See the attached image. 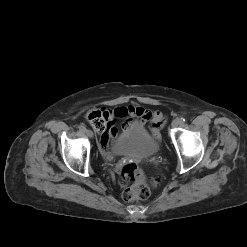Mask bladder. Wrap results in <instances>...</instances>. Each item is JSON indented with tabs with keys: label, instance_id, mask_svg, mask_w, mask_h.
<instances>
[{
	"label": "bladder",
	"instance_id": "obj_1",
	"mask_svg": "<svg viewBox=\"0 0 247 247\" xmlns=\"http://www.w3.org/2000/svg\"><path fill=\"white\" fill-rule=\"evenodd\" d=\"M158 142L143 128L134 126L123 131L112 143L115 155L150 156L157 152Z\"/></svg>",
	"mask_w": 247,
	"mask_h": 247
}]
</instances>
